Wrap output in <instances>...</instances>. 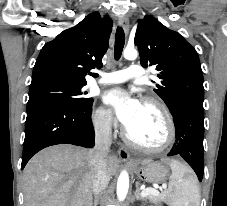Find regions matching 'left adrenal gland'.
I'll list each match as a JSON object with an SVG mask.
<instances>
[{
  "mask_svg": "<svg viewBox=\"0 0 227 206\" xmlns=\"http://www.w3.org/2000/svg\"><path fill=\"white\" fill-rule=\"evenodd\" d=\"M139 186H140V183L137 182V183H136V190H135V193H134V198H136L137 200H142L143 197H142V195H141V191H140Z\"/></svg>",
  "mask_w": 227,
  "mask_h": 206,
  "instance_id": "left-adrenal-gland-1",
  "label": "left adrenal gland"
}]
</instances>
